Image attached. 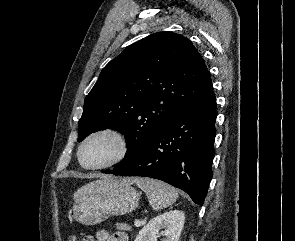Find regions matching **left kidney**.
I'll list each match as a JSON object with an SVG mask.
<instances>
[{
	"mask_svg": "<svg viewBox=\"0 0 295 241\" xmlns=\"http://www.w3.org/2000/svg\"><path fill=\"white\" fill-rule=\"evenodd\" d=\"M185 214L180 210L165 212L150 220L139 232L134 241H157L159 234L162 241H178L184 226ZM160 229H164L159 232Z\"/></svg>",
	"mask_w": 295,
	"mask_h": 241,
	"instance_id": "left-kidney-1",
	"label": "left kidney"
}]
</instances>
